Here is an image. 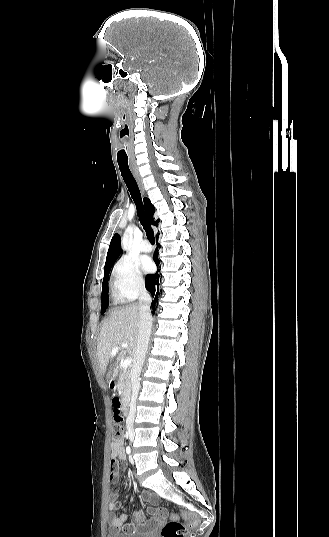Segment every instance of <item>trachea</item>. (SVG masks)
<instances>
[{
	"label": "trachea",
	"instance_id": "obj_1",
	"mask_svg": "<svg viewBox=\"0 0 329 537\" xmlns=\"http://www.w3.org/2000/svg\"><path fill=\"white\" fill-rule=\"evenodd\" d=\"M118 164H119V168H120V172L123 177V180L125 181L126 186L131 194V197L134 200V203L136 205L139 221L146 231L148 240L152 244H154L155 243L154 233L152 229L150 228V224L148 223L147 218L145 216L141 194H140V190L137 185V182L135 178L133 177L128 164H123V163H118Z\"/></svg>",
	"mask_w": 329,
	"mask_h": 537
}]
</instances>
